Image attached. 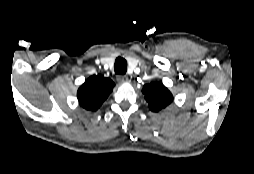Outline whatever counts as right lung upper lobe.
<instances>
[{"instance_id":"cb5924a9","label":"right lung upper lobe","mask_w":254,"mask_h":174,"mask_svg":"<svg viewBox=\"0 0 254 174\" xmlns=\"http://www.w3.org/2000/svg\"><path fill=\"white\" fill-rule=\"evenodd\" d=\"M114 85L111 79L101 75L89 77L77 92L80 106L96 111L112 92Z\"/></svg>"}]
</instances>
